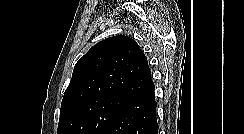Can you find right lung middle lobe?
I'll use <instances>...</instances> for the list:
<instances>
[{"label": "right lung middle lobe", "mask_w": 244, "mask_h": 134, "mask_svg": "<svg viewBox=\"0 0 244 134\" xmlns=\"http://www.w3.org/2000/svg\"><path fill=\"white\" fill-rule=\"evenodd\" d=\"M131 100L111 96L82 103L59 120L58 134H101Z\"/></svg>", "instance_id": "right-lung-middle-lobe-1"}]
</instances>
